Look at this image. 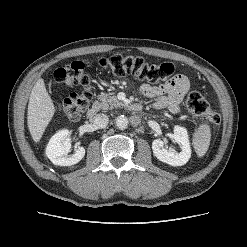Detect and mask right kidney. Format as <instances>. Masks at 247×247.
<instances>
[{
    "instance_id": "1",
    "label": "right kidney",
    "mask_w": 247,
    "mask_h": 247,
    "mask_svg": "<svg viewBox=\"0 0 247 247\" xmlns=\"http://www.w3.org/2000/svg\"><path fill=\"white\" fill-rule=\"evenodd\" d=\"M68 130H60L50 139L46 147V156L54 164L59 166H71L77 164L85 155V149L79 147L74 154L68 155L71 149V141Z\"/></svg>"
}]
</instances>
